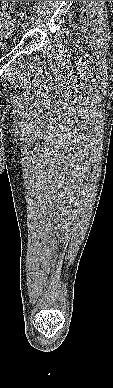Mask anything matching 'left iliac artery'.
I'll return each mask as SVG.
<instances>
[{"label": "left iliac artery", "mask_w": 113, "mask_h": 388, "mask_svg": "<svg viewBox=\"0 0 113 388\" xmlns=\"http://www.w3.org/2000/svg\"><path fill=\"white\" fill-rule=\"evenodd\" d=\"M25 21H30V17L25 16Z\"/></svg>", "instance_id": "44dca946"}]
</instances>
